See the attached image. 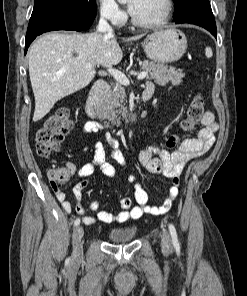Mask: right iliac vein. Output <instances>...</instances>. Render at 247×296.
<instances>
[{
    "label": "right iliac vein",
    "mask_w": 247,
    "mask_h": 296,
    "mask_svg": "<svg viewBox=\"0 0 247 296\" xmlns=\"http://www.w3.org/2000/svg\"><path fill=\"white\" fill-rule=\"evenodd\" d=\"M84 235L83 228L77 226L73 232L72 243H73V256L75 258H80L82 256V237Z\"/></svg>",
    "instance_id": "63e3f726"
}]
</instances>
